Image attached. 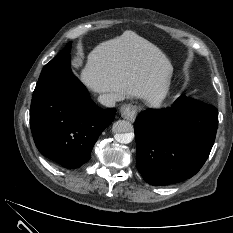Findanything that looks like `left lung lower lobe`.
I'll list each match as a JSON object with an SVG mask.
<instances>
[{
    "label": "left lung lower lobe",
    "mask_w": 233,
    "mask_h": 233,
    "mask_svg": "<svg viewBox=\"0 0 233 233\" xmlns=\"http://www.w3.org/2000/svg\"><path fill=\"white\" fill-rule=\"evenodd\" d=\"M217 127V109L186 96L171 108L141 112L135 121L138 171L154 186L194 176L210 154Z\"/></svg>",
    "instance_id": "obj_1"
}]
</instances>
